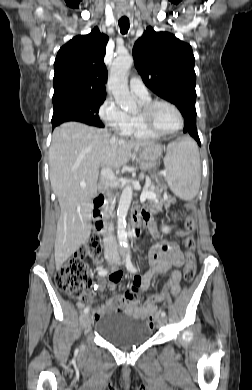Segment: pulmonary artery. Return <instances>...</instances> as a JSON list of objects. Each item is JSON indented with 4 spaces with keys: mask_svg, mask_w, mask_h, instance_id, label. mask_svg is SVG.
Segmentation results:
<instances>
[{
    "mask_svg": "<svg viewBox=\"0 0 252 390\" xmlns=\"http://www.w3.org/2000/svg\"><path fill=\"white\" fill-rule=\"evenodd\" d=\"M129 87L132 94H134L136 97L140 99H146L149 97L148 90L139 77H132L129 80Z\"/></svg>",
    "mask_w": 252,
    "mask_h": 390,
    "instance_id": "e3ab8cb5",
    "label": "pulmonary artery"
}]
</instances>
